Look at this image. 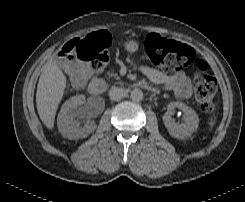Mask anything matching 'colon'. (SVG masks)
I'll return each instance as SVG.
<instances>
[{"instance_id": "obj_1", "label": "colon", "mask_w": 245, "mask_h": 202, "mask_svg": "<svg viewBox=\"0 0 245 202\" xmlns=\"http://www.w3.org/2000/svg\"><path fill=\"white\" fill-rule=\"evenodd\" d=\"M111 39L104 33H97L85 39H73L67 42L58 55L66 63L67 76L76 81L81 75V65L77 60L85 62L93 70H99L109 60ZM142 47L146 57L159 69L174 72L191 66L196 61V52L188 44L162 40L149 34L142 39ZM217 88L216 80L206 71L203 64H196L194 73L195 101L200 110L206 114L214 109V96Z\"/></svg>"}]
</instances>
